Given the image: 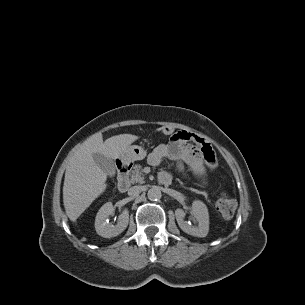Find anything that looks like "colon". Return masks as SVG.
Returning <instances> with one entry per match:
<instances>
[{
	"instance_id": "5ec220e1",
	"label": "colon",
	"mask_w": 305,
	"mask_h": 305,
	"mask_svg": "<svg viewBox=\"0 0 305 305\" xmlns=\"http://www.w3.org/2000/svg\"><path fill=\"white\" fill-rule=\"evenodd\" d=\"M160 132H162L163 134H173L175 130L172 127L165 126L160 129ZM217 208L223 216L231 217L233 216L237 208V201L230 195L222 193L217 200Z\"/></svg>"
}]
</instances>
